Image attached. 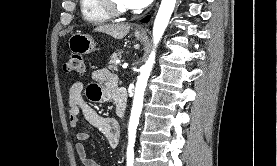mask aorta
<instances>
[{
	"instance_id": "obj_1",
	"label": "aorta",
	"mask_w": 277,
	"mask_h": 166,
	"mask_svg": "<svg viewBox=\"0 0 277 166\" xmlns=\"http://www.w3.org/2000/svg\"><path fill=\"white\" fill-rule=\"evenodd\" d=\"M176 0H162L153 26V51L149 55L145 65L141 68L140 75L137 78L133 106L128 126V149H133L136 130L139 124V118L143 107L144 92L147 81L150 76L153 64L155 62V48L160 42L163 33L169 23L174 10Z\"/></svg>"
}]
</instances>
